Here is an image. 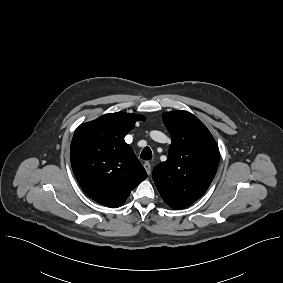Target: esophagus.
<instances>
[{"label":"esophagus","mask_w":283,"mask_h":283,"mask_svg":"<svg viewBox=\"0 0 283 283\" xmlns=\"http://www.w3.org/2000/svg\"><path fill=\"white\" fill-rule=\"evenodd\" d=\"M143 166H144L147 174L150 175L151 174V164L149 162H145Z\"/></svg>","instance_id":"1"}]
</instances>
